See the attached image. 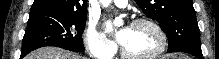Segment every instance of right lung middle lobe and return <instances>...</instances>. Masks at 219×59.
<instances>
[{
    "mask_svg": "<svg viewBox=\"0 0 219 59\" xmlns=\"http://www.w3.org/2000/svg\"><path fill=\"white\" fill-rule=\"evenodd\" d=\"M87 15H59L45 12L30 13L23 38L21 55L44 46L84 52L81 34Z\"/></svg>",
    "mask_w": 219,
    "mask_h": 59,
    "instance_id": "obj_1",
    "label": "right lung middle lobe"
}]
</instances>
